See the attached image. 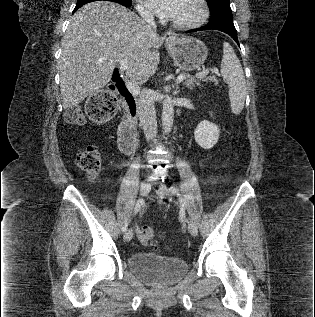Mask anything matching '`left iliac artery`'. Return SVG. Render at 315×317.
Returning <instances> with one entry per match:
<instances>
[{"label":"left iliac artery","instance_id":"left-iliac-artery-1","mask_svg":"<svg viewBox=\"0 0 315 317\" xmlns=\"http://www.w3.org/2000/svg\"><path fill=\"white\" fill-rule=\"evenodd\" d=\"M170 191H171L173 194H176L177 196H179L180 199H181V202H184V199L182 198V196H181V194H180L178 188L172 186V187H170ZM183 206H184V203H183Z\"/></svg>","mask_w":315,"mask_h":317}]
</instances>
